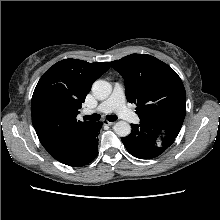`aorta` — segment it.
Instances as JSON below:
<instances>
[{
    "mask_svg": "<svg viewBox=\"0 0 220 220\" xmlns=\"http://www.w3.org/2000/svg\"><path fill=\"white\" fill-rule=\"evenodd\" d=\"M92 92L97 99L103 100L111 94L112 86L107 81L97 80L92 85ZM113 129L120 137H126L131 133V126L125 121L116 122Z\"/></svg>",
    "mask_w": 220,
    "mask_h": 220,
    "instance_id": "aorta-1",
    "label": "aorta"
}]
</instances>
